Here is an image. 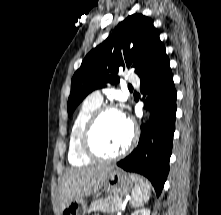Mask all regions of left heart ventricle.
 <instances>
[{"instance_id":"obj_1","label":"left heart ventricle","mask_w":221,"mask_h":215,"mask_svg":"<svg viewBox=\"0 0 221 215\" xmlns=\"http://www.w3.org/2000/svg\"><path fill=\"white\" fill-rule=\"evenodd\" d=\"M129 138L130 128L123 116L118 112H108L99 120L92 143L101 154L113 155L127 145Z\"/></svg>"}]
</instances>
